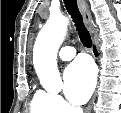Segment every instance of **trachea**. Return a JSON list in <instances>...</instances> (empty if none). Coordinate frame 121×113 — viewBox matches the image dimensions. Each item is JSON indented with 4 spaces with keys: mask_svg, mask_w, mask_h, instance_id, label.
<instances>
[{
    "mask_svg": "<svg viewBox=\"0 0 121 113\" xmlns=\"http://www.w3.org/2000/svg\"><path fill=\"white\" fill-rule=\"evenodd\" d=\"M64 3L68 13L71 15L73 22L75 23L77 30L79 31V37L82 44L87 48L91 47V36L83 23L82 16L77 6V1L64 0Z\"/></svg>",
    "mask_w": 121,
    "mask_h": 113,
    "instance_id": "1",
    "label": "trachea"
}]
</instances>
